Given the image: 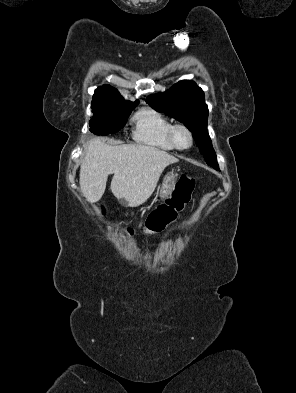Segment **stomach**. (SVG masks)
Listing matches in <instances>:
<instances>
[{"mask_svg":"<svg viewBox=\"0 0 296 393\" xmlns=\"http://www.w3.org/2000/svg\"><path fill=\"white\" fill-rule=\"evenodd\" d=\"M177 176V173H174V171H169L165 174L158 191V196L161 199L168 197L174 191Z\"/></svg>","mask_w":296,"mask_h":393,"instance_id":"obj_1","label":"stomach"}]
</instances>
